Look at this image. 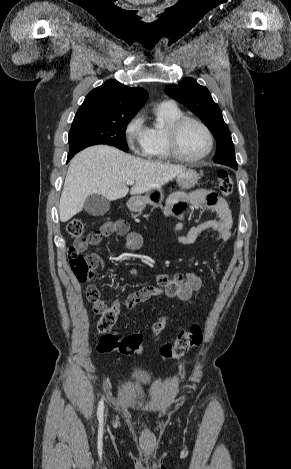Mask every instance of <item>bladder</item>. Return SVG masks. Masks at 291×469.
I'll list each match as a JSON object with an SVG mask.
<instances>
[{
	"instance_id": "obj_1",
	"label": "bladder",
	"mask_w": 291,
	"mask_h": 469,
	"mask_svg": "<svg viewBox=\"0 0 291 469\" xmlns=\"http://www.w3.org/2000/svg\"><path fill=\"white\" fill-rule=\"evenodd\" d=\"M130 380L136 384H147L151 381V375L146 370L135 369L130 375Z\"/></svg>"
}]
</instances>
